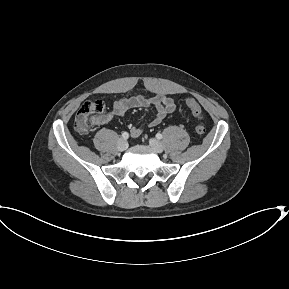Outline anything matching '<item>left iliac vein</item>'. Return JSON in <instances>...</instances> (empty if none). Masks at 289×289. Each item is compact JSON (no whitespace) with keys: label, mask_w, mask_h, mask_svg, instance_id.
I'll return each mask as SVG.
<instances>
[{"label":"left iliac vein","mask_w":289,"mask_h":289,"mask_svg":"<svg viewBox=\"0 0 289 289\" xmlns=\"http://www.w3.org/2000/svg\"><path fill=\"white\" fill-rule=\"evenodd\" d=\"M149 144L152 147V149L157 153H162L164 150L163 144L157 139L154 138L150 139Z\"/></svg>","instance_id":"4c4485c4"}]
</instances>
